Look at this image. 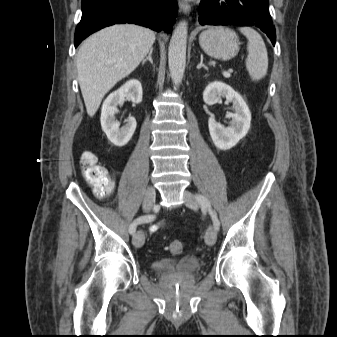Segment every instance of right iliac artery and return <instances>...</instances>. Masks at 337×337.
<instances>
[{"label": "right iliac artery", "mask_w": 337, "mask_h": 337, "mask_svg": "<svg viewBox=\"0 0 337 337\" xmlns=\"http://www.w3.org/2000/svg\"><path fill=\"white\" fill-rule=\"evenodd\" d=\"M154 218H155V215H152V214L138 217L129 226V233L134 234L136 231L137 225L142 224V223L151 222L154 220Z\"/></svg>", "instance_id": "1"}]
</instances>
